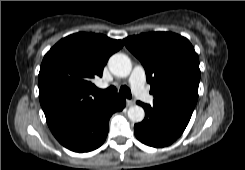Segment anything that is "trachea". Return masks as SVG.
I'll return each mask as SVG.
<instances>
[{"label":"trachea","instance_id":"trachea-1","mask_svg":"<svg viewBox=\"0 0 245 170\" xmlns=\"http://www.w3.org/2000/svg\"><path fill=\"white\" fill-rule=\"evenodd\" d=\"M97 92L104 94V95H111L115 94L117 92V89L115 86H110L109 88L102 90V89H97ZM120 92L128 99L132 98L131 91L128 87L122 86L120 88Z\"/></svg>","mask_w":245,"mask_h":170}]
</instances>
